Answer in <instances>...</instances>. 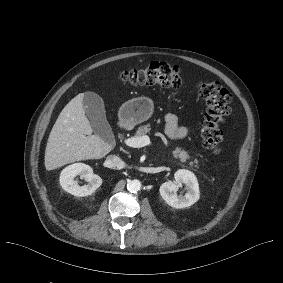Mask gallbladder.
Segmentation results:
<instances>
[{
	"mask_svg": "<svg viewBox=\"0 0 283 283\" xmlns=\"http://www.w3.org/2000/svg\"><path fill=\"white\" fill-rule=\"evenodd\" d=\"M83 107L90 120L93 132L108 143L114 142V134L106 119L103 99L94 92H85Z\"/></svg>",
	"mask_w": 283,
	"mask_h": 283,
	"instance_id": "bac80fb5",
	"label": "gallbladder"
}]
</instances>
